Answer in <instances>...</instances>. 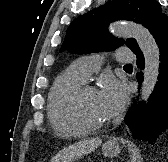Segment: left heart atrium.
Returning <instances> with one entry per match:
<instances>
[{"label": "left heart atrium", "instance_id": "left-heart-atrium-1", "mask_svg": "<svg viewBox=\"0 0 168 162\" xmlns=\"http://www.w3.org/2000/svg\"><path fill=\"white\" fill-rule=\"evenodd\" d=\"M98 95L107 119L117 116L123 110L127 101V91L124 85L111 77L104 80L103 87Z\"/></svg>", "mask_w": 168, "mask_h": 162}]
</instances>
